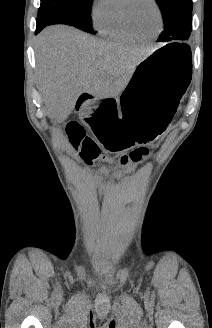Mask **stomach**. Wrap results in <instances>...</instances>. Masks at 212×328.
I'll return each instance as SVG.
<instances>
[{
    "label": "stomach",
    "mask_w": 212,
    "mask_h": 328,
    "mask_svg": "<svg viewBox=\"0 0 212 328\" xmlns=\"http://www.w3.org/2000/svg\"><path fill=\"white\" fill-rule=\"evenodd\" d=\"M190 74L184 47H158L137 64L117 102H90L86 106L82 124H88L99 146L112 152L152 141L169 128Z\"/></svg>",
    "instance_id": "obj_1"
}]
</instances>
